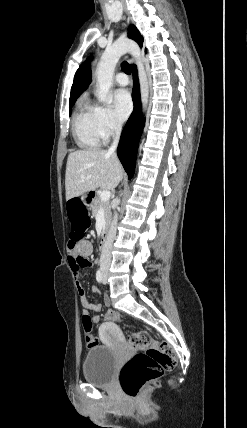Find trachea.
Segmentation results:
<instances>
[{
	"label": "trachea",
	"mask_w": 247,
	"mask_h": 428,
	"mask_svg": "<svg viewBox=\"0 0 247 428\" xmlns=\"http://www.w3.org/2000/svg\"><path fill=\"white\" fill-rule=\"evenodd\" d=\"M121 68H122V70H123L124 73L130 75V66H129V64L127 62H125V61L122 62Z\"/></svg>",
	"instance_id": "trachea-1"
}]
</instances>
